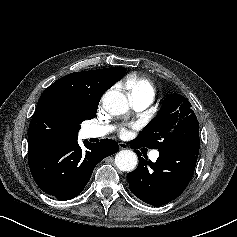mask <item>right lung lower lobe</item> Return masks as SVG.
<instances>
[{
	"mask_svg": "<svg viewBox=\"0 0 237 237\" xmlns=\"http://www.w3.org/2000/svg\"><path fill=\"white\" fill-rule=\"evenodd\" d=\"M77 138L42 143L28 150L31 174L45 193L59 200L79 195L90 180L94 167L119 149L117 142L103 139L99 143L84 142L82 150Z\"/></svg>",
	"mask_w": 237,
	"mask_h": 237,
	"instance_id": "1",
	"label": "right lung lower lobe"
}]
</instances>
